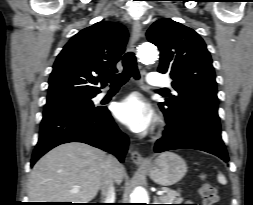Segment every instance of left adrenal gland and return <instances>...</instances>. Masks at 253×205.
I'll list each match as a JSON object with an SVG mask.
<instances>
[{
  "instance_id": "a2214340",
  "label": "left adrenal gland",
  "mask_w": 253,
  "mask_h": 205,
  "mask_svg": "<svg viewBox=\"0 0 253 205\" xmlns=\"http://www.w3.org/2000/svg\"><path fill=\"white\" fill-rule=\"evenodd\" d=\"M154 204H159V200L157 199V196H154Z\"/></svg>"
}]
</instances>
